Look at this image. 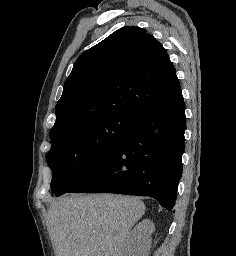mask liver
<instances>
[{
	"mask_svg": "<svg viewBox=\"0 0 236 256\" xmlns=\"http://www.w3.org/2000/svg\"><path fill=\"white\" fill-rule=\"evenodd\" d=\"M143 214L140 198L65 194L48 208L55 256H125L129 232Z\"/></svg>",
	"mask_w": 236,
	"mask_h": 256,
	"instance_id": "1",
	"label": "liver"
}]
</instances>
